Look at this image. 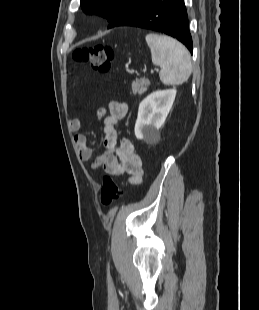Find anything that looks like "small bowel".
I'll return each instance as SVG.
<instances>
[{
  "label": "small bowel",
  "mask_w": 259,
  "mask_h": 310,
  "mask_svg": "<svg viewBox=\"0 0 259 310\" xmlns=\"http://www.w3.org/2000/svg\"><path fill=\"white\" fill-rule=\"evenodd\" d=\"M106 108L100 107L96 116L103 124V152L98 154L88 146L84 134L77 133L81 128V121L73 118L69 121V128L76 133L74 136L75 147L83 161L91 162V169L102 168L107 174L124 177L129 184H139L142 181L143 167L141 157L136 153L132 142L123 138L118 143L117 125L128 111L124 102L111 101Z\"/></svg>",
  "instance_id": "small-bowel-1"
}]
</instances>
